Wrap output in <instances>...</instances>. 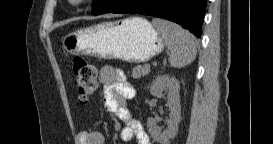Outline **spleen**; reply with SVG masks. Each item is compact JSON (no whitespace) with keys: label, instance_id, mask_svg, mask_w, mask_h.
<instances>
[{"label":"spleen","instance_id":"3e777b00","mask_svg":"<svg viewBox=\"0 0 273 144\" xmlns=\"http://www.w3.org/2000/svg\"><path fill=\"white\" fill-rule=\"evenodd\" d=\"M152 24L159 32L164 44L170 49L169 63L174 68H182L194 61L197 53L195 38L179 25L155 18Z\"/></svg>","mask_w":273,"mask_h":144}]
</instances>
